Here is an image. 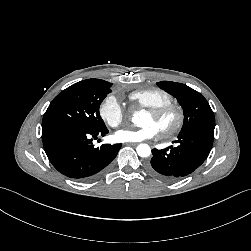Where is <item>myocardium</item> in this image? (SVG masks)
Returning <instances> with one entry per match:
<instances>
[{
	"mask_svg": "<svg viewBox=\"0 0 251 251\" xmlns=\"http://www.w3.org/2000/svg\"><path fill=\"white\" fill-rule=\"evenodd\" d=\"M147 113L156 119H161L168 115H172L174 117V122L170 127L159 131L160 135L164 138H168L177 134L184 124V112L182 108L173 103L160 107L148 108Z\"/></svg>",
	"mask_w": 251,
	"mask_h": 251,
	"instance_id": "obj_1",
	"label": "myocardium"
}]
</instances>
